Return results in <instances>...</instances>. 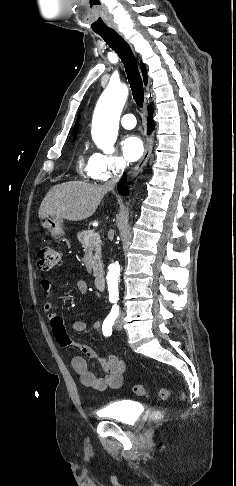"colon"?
<instances>
[{
	"label": "colon",
	"instance_id": "obj_1",
	"mask_svg": "<svg viewBox=\"0 0 236 486\" xmlns=\"http://www.w3.org/2000/svg\"><path fill=\"white\" fill-rule=\"evenodd\" d=\"M59 261L58 251L51 247L45 246L40 249L38 254V266L42 270H50L54 268ZM134 393L140 397H146L149 395L148 389L143 385H136L134 387ZM171 396V390L167 388H162L158 391L157 397L161 400H166ZM162 414L160 411H154L151 415V419L157 421L161 418Z\"/></svg>",
	"mask_w": 236,
	"mask_h": 486
}]
</instances>
